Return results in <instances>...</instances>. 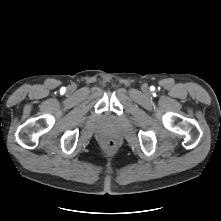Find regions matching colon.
Masks as SVG:
<instances>
[{
    "instance_id": "5ec220e1",
    "label": "colon",
    "mask_w": 221,
    "mask_h": 221,
    "mask_svg": "<svg viewBox=\"0 0 221 221\" xmlns=\"http://www.w3.org/2000/svg\"><path fill=\"white\" fill-rule=\"evenodd\" d=\"M103 149L108 154L114 153L117 149L116 141L113 139H105L103 141Z\"/></svg>"
}]
</instances>
